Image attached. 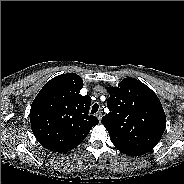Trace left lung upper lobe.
<instances>
[{"label":"left lung upper lobe","mask_w":184,"mask_h":184,"mask_svg":"<svg viewBox=\"0 0 184 184\" xmlns=\"http://www.w3.org/2000/svg\"><path fill=\"white\" fill-rule=\"evenodd\" d=\"M109 113L102 124L116 147L139 154L151 151L161 139L166 116L157 95L135 78H124L117 87H108Z\"/></svg>","instance_id":"1"}]
</instances>
